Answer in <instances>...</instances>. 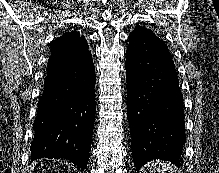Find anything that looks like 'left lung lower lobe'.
I'll list each match as a JSON object with an SVG mask.
<instances>
[{
    "label": "left lung lower lobe",
    "mask_w": 219,
    "mask_h": 173,
    "mask_svg": "<svg viewBox=\"0 0 219 173\" xmlns=\"http://www.w3.org/2000/svg\"><path fill=\"white\" fill-rule=\"evenodd\" d=\"M128 39L127 110L136 170L154 159L180 166L185 114L171 54L153 32L131 33Z\"/></svg>",
    "instance_id": "obj_1"
}]
</instances>
